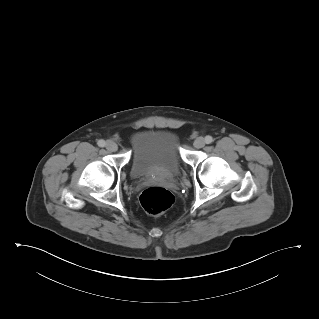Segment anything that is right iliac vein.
I'll return each mask as SVG.
<instances>
[{
    "label": "right iliac vein",
    "mask_w": 319,
    "mask_h": 319,
    "mask_svg": "<svg viewBox=\"0 0 319 319\" xmlns=\"http://www.w3.org/2000/svg\"><path fill=\"white\" fill-rule=\"evenodd\" d=\"M106 148L111 152H115L118 149V145L114 141H108L106 143Z\"/></svg>",
    "instance_id": "obj_1"
}]
</instances>
